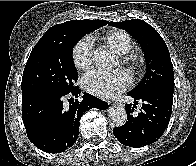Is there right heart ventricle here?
Listing matches in <instances>:
<instances>
[{
  "label": "right heart ventricle",
  "mask_w": 196,
  "mask_h": 166,
  "mask_svg": "<svg viewBox=\"0 0 196 166\" xmlns=\"http://www.w3.org/2000/svg\"><path fill=\"white\" fill-rule=\"evenodd\" d=\"M104 40L119 55H126L133 49V41L131 37L122 30L107 32L104 36Z\"/></svg>",
  "instance_id": "right-heart-ventricle-1"
}]
</instances>
